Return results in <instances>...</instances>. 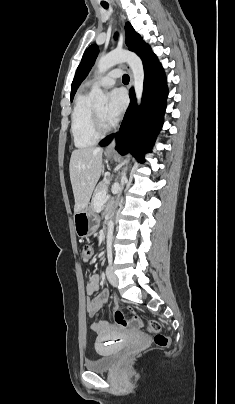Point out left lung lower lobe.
I'll return each instance as SVG.
<instances>
[{
	"instance_id": "obj_1",
	"label": "left lung lower lobe",
	"mask_w": 235,
	"mask_h": 404,
	"mask_svg": "<svg viewBox=\"0 0 235 404\" xmlns=\"http://www.w3.org/2000/svg\"><path fill=\"white\" fill-rule=\"evenodd\" d=\"M142 61L145 72L142 104L140 108L137 107L135 94L131 89V103L116 135V150L121 155L131 152L141 163L144 162L143 155L151 151L162 128L168 94L164 71L156 55L152 52ZM113 137L114 134L107 136L100 145H109Z\"/></svg>"
}]
</instances>
